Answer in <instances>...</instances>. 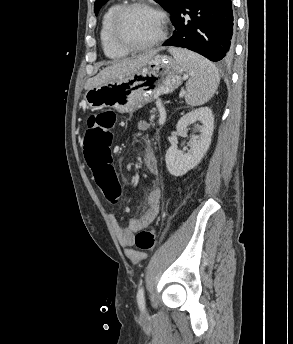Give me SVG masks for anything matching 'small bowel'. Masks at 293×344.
<instances>
[{"label":"small bowel","mask_w":293,"mask_h":344,"mask_svg":"<svg viewBox=\"0 0 293 344\" xmlns=\"http://www.w3.org/2000/svg\"><path fill=\"white\" fill-rule=\"evenodd\" d=\"M145 123L140 124V128L146 129ZM143 161L146 169L154 175L159 172L158 162L154 155L152 148L147 145L144 152ZM161 189L158 185H155L149 192L147 197L148 207L146 212L137 219L129 221L126 227H122L115 215H112L111 220L114 225L116 235L120 245L125 248L126 256L133 262L139 263L145 259L146 255L143 252L132 248L134 245V235L136 232L147 228L155 220L160 208Z\"/></svg>","instance_id":"1"}]
</instances>
